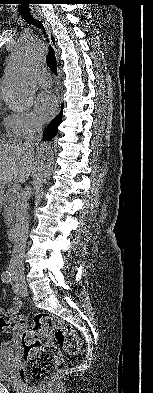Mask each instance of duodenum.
<instances>
[{"label":"duodenum","instance_id":"410a0bca","mask_svg":"<svg viewBox=\"0 0 153 393\" xmlns=\"http://www.w3.org/2000/svg\"><path fill=\"white\" fill-rule=\"evenodd\" d=\"M7 234L11 240H15L17 238V227L14 225L10 226L8 228Z\"/></svg>","mask_w":153,"mask_h":393}]
</instances>
